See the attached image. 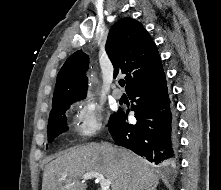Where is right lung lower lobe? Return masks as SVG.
Returning <instances> with one entry per match:
<instances>
[{
  "label": "right lung lower lobe",
  "mask_w": 221,
  "mask_h": 190,
  "mask_svg": "<svg viewBox=\"0 0 221 190\" xmlns=\"http://www.w3.org/2000/svg\"><path fill=\"white\" fill-rule=\"evenodd\" d=\"M127 94L131 102L136 103L131 110L135 111L137 123L129 124L127 114L119 109L109 124L115 143L155 164H174L178 148L176 119L165 73Z\"/></svg>",
  "instance_id": "right-lung-lower-lobe-1"
}]
</instances>
